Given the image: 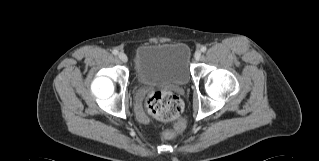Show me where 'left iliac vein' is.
Instances as JSON below:
<instances>
[{
	"label": "left iliac vein",
	"instance_id": "1",
	"mask_svg": "<svg viewBox=\"0 0 319 161\" xmlns=\"http://www.w3.org/2000/svg\"><path fill=\"white\" fill-rule=\"evenodd\" d=\"M194 57H195L196 60H198L201 57V51H199V50L196 51L195 54H194Z\"/></svg>",
	"mask_w": 319,
	"mask_h": 161
}]
</instances>
